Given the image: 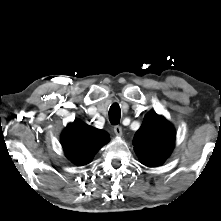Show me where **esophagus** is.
I'll return each mask as SVG.
<instances>
[{"label": "esophagus", "instance_id": "obj_1", "mask_svg": "<svg viewBox=\"0 0 221 221\" xmlns=\"http://www.w3.org/2000/svg\"><path fill=\"white\" fill-rule=\"evenodd\" d=\"M114 133H115L117 136H121V135H122V127L119 126V125L114 126Z\"/></svg>", "mask_w": 221, "mask_h": 221}]
</instances>
